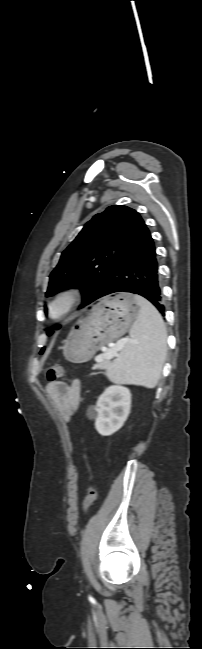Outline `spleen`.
Returning a JSON list of instances; mask_svg holds the SVG:
<instances>
[{
	"instance_id": "1",
	"label": "spleen",
	"mask_w": 202,
	"mask_h": 649,
	"mask_svg": "<svg viewBox=\"0 0 202 649\" xmlns=\"http://www.w3.org/2000/svg\"><path fill=\"white\" fill-rule=\"evenodd\" d=\"M139 314L130 329L133 341L126 343L107 376L112 382L133 383L154 388L161 376L166 355V327L157 309L135 295Z\"/></svg>"
}]
</instances>
